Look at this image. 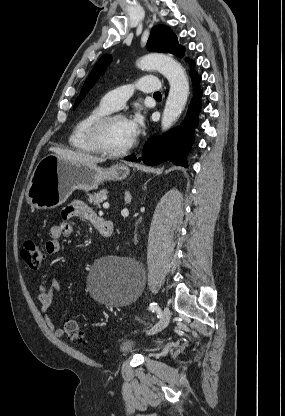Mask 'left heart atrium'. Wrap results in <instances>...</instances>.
Here are the masks:
<instances>
[{
    "label": "left heart atrium",
    "mask_w": 285,
    "mask_h": 416,
    "mask_svg": "<svg viewBox=\"0 0 285 416\" xmlns=\"http://www.w3.org/2000/svg\"><path fill=\"white\" fill-rule=\"evenodd\" d=\"M126 132L131 141L135 140L141 131L143 125L142 116L135 113L129 118L125 119Z\"/></svg>",
    "instance_id": "39dd6f15"
}]
</instances>
